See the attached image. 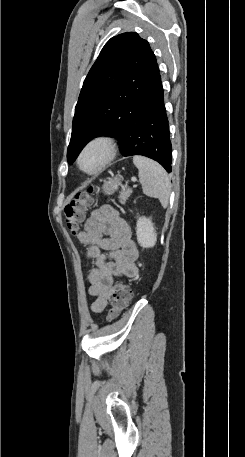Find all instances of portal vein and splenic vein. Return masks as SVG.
Here are the masks:
<instances>
[{"instance_id": "portal-vein-and-splenic-vein-1", "label": "portal vein and splenic vein", "mask_w": 245, "mask_h": 457, "mask_svg": "<svg viewBox=\"0 0 245 457\" xmlns=\"http://www.w3.org/2000/svg\"><path fill=\"white\" fill-rule=\"evenodd\" d=\"M136 180H137L136 176H132V178H131V184H132V185H133V184H136Z\"/></svg>"}]
</instances>
